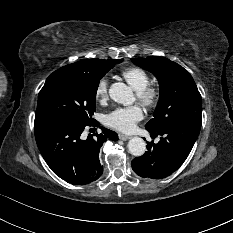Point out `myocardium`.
I'll return each mask as SVG.
<instances>
[{
    "label": "myocardium",
    "instance_id": "1",
    "mask_svg": "<svg viewBox=\"0 0 233 233\" xmlns=\"http://www.w3.org/2000/svg\"><path fill=\"white\" fill-rule=\"evenodd\" d=\"M138 98L147 107L155 106L160 99V91L157 87L148 85L138 92Z\"/></svg>",
    "mask_w": 233,
    "mask_h": 233
}]
</instances>
